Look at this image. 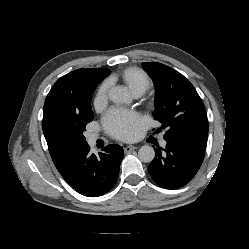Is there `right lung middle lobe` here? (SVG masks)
I'll return each mask as SVG.
<instances>
[{"instance_id": "obj_1", "label": "right lung middle lobe", "mask_w": 249, "mask_h": 249, "mask_svg": "<svg viewBox=\"0 0 249 249\" xmlns=\"http://www.w3.org/2000/svg\"><path fill=\"white\" fill-rule=\"evenodd\" d=\"M109 74V73H108ZM107 74V75H108ZM103 76L91 83L84 107L78 112H73L61 125L63 139L70 146L87 144L83 132L87 123L93 120V112L90 105L92 93L97 85L107 76Z\"/></svg>"}]
</instances>
